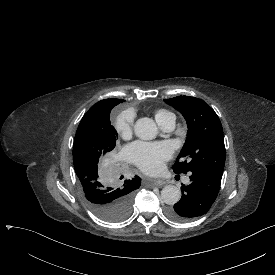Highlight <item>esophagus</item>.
Wrapping results in <instances>:
<instances>
[{
  "instance_id": "1",
  "label": "esophagus",
  "mask_w": 275,
  "mask_h": 275,
  "mask_svg": "<svg viewBox=\"0 0 275 275\" xmlns=\"http://www.w3.org/2000/svg\"><path fill=\"white\" fill-rule=\"evenodd\" d=\"M153 183L155 186H162V185H164L165 182L163 179L157 178V179L153 180Z\"/></svg>"
}]
</instances>
